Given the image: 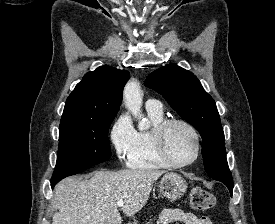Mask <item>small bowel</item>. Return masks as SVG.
Instances as JSON below:
<instances>
[{"instance_id": "c3829d8e", "label": "small bowel", "mask_w": 275, "mask_h": 224, "mask_svg": "<svg viewBox=\"0 0 275 224\" xmlns=\"http://www.w3.org/2000/svg\"><path fill=\"white\" fill-rule=\"evenodd\" d=\"M158 224H212L207 216H197L180 209H165L161 212Z\"/></svg>"}]
</instances>
